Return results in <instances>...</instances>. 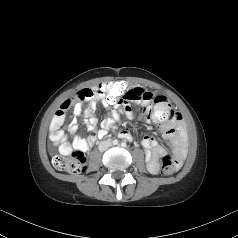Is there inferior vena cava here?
Masks as SVG:
<instances>
[{"mask_svg":"<svg viewBox=\"0 0 238 238\" xmlns=\"http://www.w3.org/2000/svg\"><path fill=\"white\" fill-rule=\"evenodd\" d=\"M110 146H111V142H109V141H102V142L99 143L98 148H99L100 151H105Z\"/></svg>","mask_w":238,"mask_h":238,"instance_id":"602c4592","label":"inferior vena cava"}]
</instances>
